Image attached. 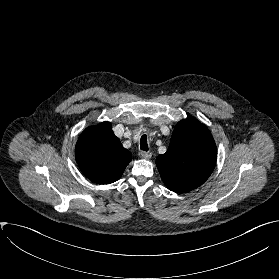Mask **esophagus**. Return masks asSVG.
Instances as JSON below:
<instances>
[{
	"mask_svg": "<svg viewBox=\"0 0 279 279\" xmlns=\"http://www.w3.org/2000/svg\"><path fill=\"white\" fill-rule=\"evenodd\" d=\"M139 156L143 159H150L152 157V153L141 151V152H139Z\"/></svg>",
	"mask_w": 279,
	"mask_h": 279,
	"instance_id": "esophagus-1",
	"label": "esophagus"
}]
</instances>
